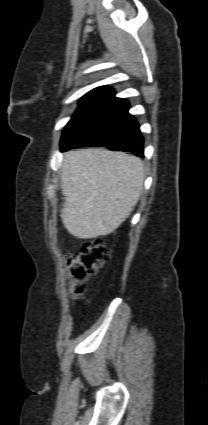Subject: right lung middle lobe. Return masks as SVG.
I'll use <instances>...</instances> for the list:
<instances>
[{
	"label": "right lung middle lobe",
	"instance_id": "obj_1",
	"mask_svg": "<svg viewBox=\"0 0 208 425\" xmlns=\"http://www.w3.org/2000/svg\"><path fill=\"white\" fill-rule=\"evenodd\" d=\"M98 96V94H94V93H87L85 94L81 100H80V106L78 108V110L82 107H84L86 104H88L89 102L93 101L96 97ZM77 110V111H78Z\"/></svg>",
	"mask_w": 208,
	"mask_h": 425
}]
</instances>
